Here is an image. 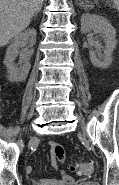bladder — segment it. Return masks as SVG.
Instances as JSON below:
<instances>
[{
    "mask_svg": "<svg viewBox=\"0 0 119 185\" xmlns=\"http://www.w3.org/2000/svg\"><path fill=\"white\" fill-rule=\"evenodd\" d=\"M77 185H99V184L95 181L88 180V181H82V182L78 183Z\"/></svg>",
    "mask_w": 119,
    "mask_h": 185,
    "instance_id": "31cf9c89",
    "label": "bladder"
}]
</instances>
